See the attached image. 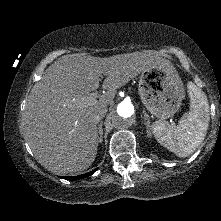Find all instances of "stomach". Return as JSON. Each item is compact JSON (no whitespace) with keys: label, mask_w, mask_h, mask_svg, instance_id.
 Wrapping results in <instances>:
<instances>
[{"label":"stomach","mask_w":221,"mask_h":221,"mask_svg":"<svg viewBox=\"0 0 221 221\" xmlns=\"http://www.w3.org/2000/svg\"><path fill=\"white\" fill-rule=\"evenodd\" d=\"M138 91L147 110L162 120L172 117L185 97L183 83L174 67L142 71Z\"/></svg>","instance_id":"0dacf381"}]
</instances>
